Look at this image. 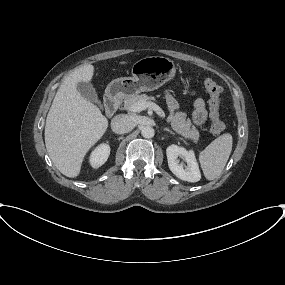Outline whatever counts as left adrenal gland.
I'll use <instances>...</instances> for the list:
<instances>
[{
    "instance_id": "1",
    "label": "left adrenal gland",
    "mask_w": 285,
    "mask_h": 285,
    "mask_svg": "<svg viewBox=\"0 0 285 285\" xmlns=\"http://www.w3.org/2000/svg\"><path fill=\"white\" fill-rule=\"evenodd\" d=\"M163 130L169 132L172 135H175V133L173 131H171L169 128H164Z\"/></svg>"
}]
</instances>
